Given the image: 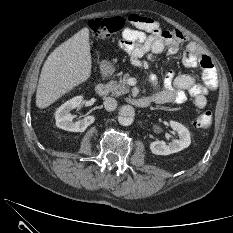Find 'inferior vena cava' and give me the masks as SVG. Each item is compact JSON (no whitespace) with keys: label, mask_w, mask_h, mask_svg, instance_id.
Masks as SVG:
<instances>
[{"label":"inferior vena cava","mask_w":233,"mask_h":233,"mask_svg":"<svg viewBox=\"0 0 233 233\" xmlns=\"http://www.w3.org/2000/svg\"><path fill=\"white\" fill-rule=\"evenodd\" d=\"M104 107L107 111H114L117 108V101L112 97H107L104 100Z\"/></svg>","instance_id":"inferior-vena-cava-1"}]
</instances>
